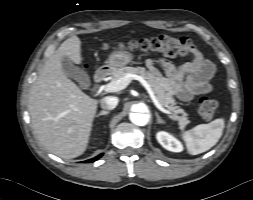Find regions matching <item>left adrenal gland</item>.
<instances>
[{
    "label": "left adrenal gland",
    "mask_w": 253,
    "mask_h": 200,
    "mask_svg": "<svg viewBox=\"0 0 253 200\" xmlns=\"http://www.w3.org/2000/svg\"><path fill=\"white\" fill-rule=\"evenodd\" d=\"M155 116L157 118L158 123H164L163 119L159 116V114L157 112H155Z\"/></svg>",
    "instance_id": "left-adrenal-gland-1"
}]
</instances>
